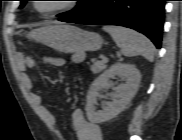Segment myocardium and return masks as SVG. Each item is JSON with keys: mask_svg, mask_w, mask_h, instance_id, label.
<instances>
[{"mask_svg": "<svg viewBox=\"0 0 182 140\" xmlns=\"http://www.w3.org/2000/svg\"><path fill=\"white\" fill-rule=\"evenodd\" d=\"M38 5L39 4H34V9L36 12H38L43 17H50V16H54V15L61 14L64 12H68V11L74 9L76 6L75 2L68 0V1H65V3L58 9L43 11L39 8Z\"/></svg>", "mask_w": 182, "mask_h": 140, "instance_id": "obj_1", "label": "myocardium"}]
</instances>
